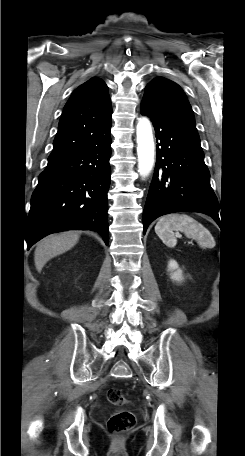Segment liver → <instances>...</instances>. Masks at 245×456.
I'll list each match as a JSON object with an SVG mask.
<instances>
[{
  "mask_svg": "<svg viewBox=\"0 0 245 456\" xmlns=\"http://www.w3.org/2000/svg\"><path fill=\"white\" fill-rule=\"evenodd\" d=\"M79 240L77 231H66L51 235L37 244L34 252L35 267L41 272L44 265L53 257L63 254L76 245Z\"/></svg>",
  "mask_w": 245,
  "mask_h": 456,
  "instance_id": "1",
  "label": "liver"
}]
</instances>
